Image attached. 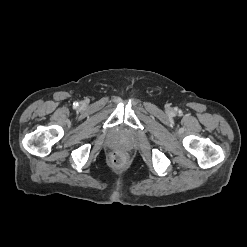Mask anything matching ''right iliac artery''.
<instances>
[{"instance_id":"1","label":"right iliac artery","mask_w":247,"mask_h":247,"mask_svg":"<svg viewBox=\"0 0 247 247\" xmlns=\"http://www.w3.org/2000/svg\"><path fill=\"white\" fill-rule=\"evenodd\" d=\"M73 105H74L75 107H77V106H78V102L74 103Z\"/></svg>"}]
</instances>
